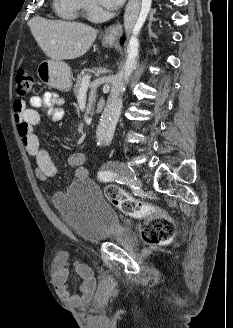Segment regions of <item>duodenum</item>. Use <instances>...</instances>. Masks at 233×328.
<instances>
[{
	"instance_id": "obj_1",
	"label": "duodenum",
	"mask_w": 233,
	"mask_h": 328,
	"mask_svg": "<svg viewBox=\"0 0 233 328\" xmlns=\"http://www.w3.org/2000/svg\"><path fill=\"white\" fill-rule=\"evenodd\" d=\"M105 101L103 99H100L96 103V111L101 112L104 109Z\"/></svg>"
}]
</instances>
